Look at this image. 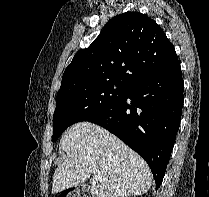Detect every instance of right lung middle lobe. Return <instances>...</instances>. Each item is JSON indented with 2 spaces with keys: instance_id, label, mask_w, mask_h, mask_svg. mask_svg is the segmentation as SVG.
<instances>
[{
  "instance_id": "1",
  "label": "right lung middle lobe",
  "mask_w": 209,
  "mask_h": 197,
  "mask_svg": "<svg viewBox=\"0 0 209 197\" xmlns=\"http://www.w3.org/2000/svg\"><path fill=\"white\" fill-rule=\"evenodd\" d=\"M130 88L131 85L115 80L82 82L61 88L53 115L52 141L70 125L86 121L122 100Z\"/></svg>"
}]
</instances>
